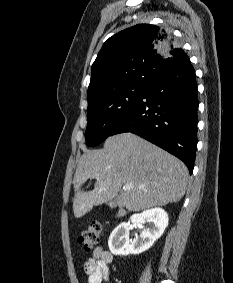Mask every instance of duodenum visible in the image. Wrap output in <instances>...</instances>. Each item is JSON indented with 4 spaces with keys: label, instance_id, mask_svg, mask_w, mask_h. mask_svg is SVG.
<instances>
[{
    "label": "duodenum",
    "instance_id": "duodenum-1",
    "mask_svg": "<svg viewBox=\"0 0 233 283\" xmlns=\"http://www.w3.org/2000/svg\"><path fill=\"white\" fill-rule=\"evenodd\" d=\"M125 214V211H123V210H120L119 212H118V216L120 217V216H123Z\"/></svg>",
    "mask_w": 233,
    "mask_h": 283
}]
</instances>
